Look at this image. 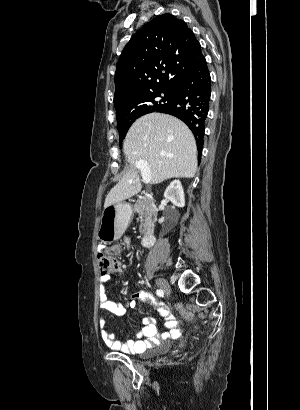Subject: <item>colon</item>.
Instances as JSON below:
<instances>
[{
    "instance_id": "5ec220e1",
    "label": "colon",
    "mask_w": 300,
    "mask_h": 410,
    "mask_svg": "<svg viewBox=\"0 0 300 410\" xmlns=\"http://www.w3.org/2000/svg\"><path fill=\"white\" fill-rule=\"evenodd\" d=\"M97 258L101 275L120 272L124 268L122 261L112 254L99 252Z\"/></svg>"
}]
</instances>
